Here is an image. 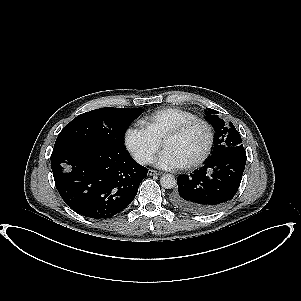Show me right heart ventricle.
<instances>
[{"label":"right heart ventricle","mask_w":301,"mask_h":301,"mask_svg":"<svg viewBox=\"0 0 301 301\" xmlns=\"http://www.w3.org/2000/svg\"><path fill=\"white\" fill-rule=\"evenodd\" d=\"M192 118H195V115L189 111L180 108H165L146 118L143 124L145 129L160 141L170 129Z\"/></svg>","instance_id":"obj_1"}]
</instances>
